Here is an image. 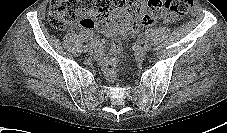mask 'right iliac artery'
<instances>
[{
  "mask_svg": "<svg viewBox=\"0 0 227 133\" xmlns=\"http://www.w3.org/2000/svg\"><path fill=\"white\" fill-rule=\"evenodd\" d=\"M87 49H88V46H87V45L83 46V51H84V52H86Z\"/></svg>",
  "mask_w": 227,
  "mask_h": 133,
  "instance_id": "right-iliac-artery-1",
  "label": "right iliac artery"
}]
</instances>
